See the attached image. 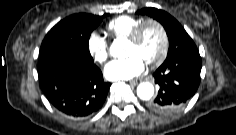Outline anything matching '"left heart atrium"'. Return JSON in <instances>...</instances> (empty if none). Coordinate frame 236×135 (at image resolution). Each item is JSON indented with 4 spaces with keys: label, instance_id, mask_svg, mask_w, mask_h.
Here are the masks:
<instances>
[{
    "label": "left heart atrium",
    "instance_id": "39dd6f15",
    "mask_svg": "<svg viewBox=\"0 0 236 135\" xmlns=\"http://www.w3.org/2000/svg\"><path fill=\"white\" fill-rule=\"evenodd\" d=\"M145 68L144 60L138 54L109 62L104 68V75L109 80H127L140 75Z\"/></svg>",
    "mask_w": 236,
    "mask_h": 135
}]
</instances>
